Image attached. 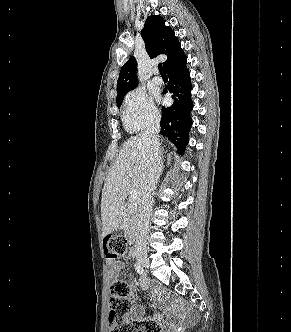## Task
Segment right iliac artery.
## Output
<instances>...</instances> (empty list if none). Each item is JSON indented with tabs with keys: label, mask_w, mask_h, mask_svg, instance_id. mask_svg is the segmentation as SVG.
Segmentation results:
<instances>
[{
	"label": "right iliac artery",
	"mask_w": 291,
	"mask_h": 332,
	"mask_svg": "<svg viewBox=\"0 0 291 332\" xmlns=\"http://www.w3.org/2000/svg\"><path fill=\"white\" fill-rule=\"evenodd\" d=\"M135 270L137 271V273H139L140 275H142L144 273V269L143 267L139 264V263H136L135 264Z\"/></svg>",
	"instance_id": "1"
}]
</instances>
